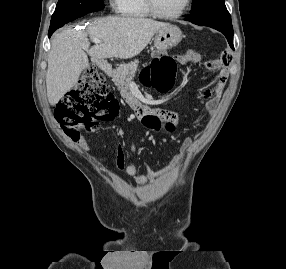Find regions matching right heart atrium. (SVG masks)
I'll return each mask as SVG.
<instances>
[{
	"mask_svg": "<svg viewBox=\"0 0 286 269\" xmlns=\"http://www.w3.org/2000/svg\"><path fill=\"white\" fill-rule=\"evenodd\" d=\"M113 5H116L117 0H110Z\"/></svg>",
	"mask_w": 286,
	"mask_h": 269,
	"instance_id": "d8ad5b80",
	"label": "right heart atrium"
}]
</instances>
